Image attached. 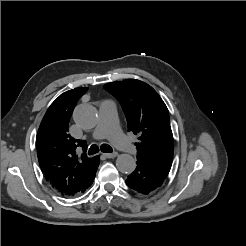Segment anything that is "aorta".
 <instances>
[{"label": "aorta", "mask_w": 246, "mask_h": 246, "mask_svg": "<svg viewBox=\"0 0 246 246\" xmlns=\"http://www.w3.org/2000/svg\"><path fill=\"white\" fill-rule=\"evenodd\" d=\"M73 118L78 126L88 130L96 126L98 114L92 105L82 104L75 108ZM116 167L121 173L129 174L135 170L136 161L129 154H121L116 159Z\"/></svg>", "instance_id": "1"}]
</instances>
